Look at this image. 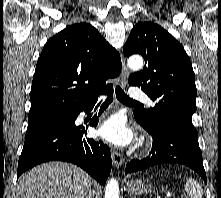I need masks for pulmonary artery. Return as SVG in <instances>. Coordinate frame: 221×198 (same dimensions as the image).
Here are the masks:
<instances>
[{
	"label": "pulmonary artery",
	"instance_id": "e3ab8cb5",
	"mask_svg": "<svg viewBox=\"0 0 221 198\" xmlns=\"http://www.w3.org/2000/svg\"><path fill=\"white\" fill-rule=\"evenodd\" d=\"M130 97L135 100H141L145 101L148 104L152 105L153 102L150 100V98L144 93L142 90L137 89V88H132L130 90Z\"/></svg>",
	"mask_w": 221,
	"mask_h": 198
}]
</instances>
